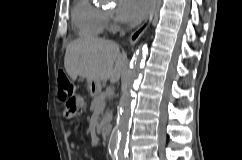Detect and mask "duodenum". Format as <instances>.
I'll return each instance as SVG.
<instances>
[{"instance_id":"obj_1","label":"duodenum","mask_w":242,"mask_h":160,"mask_svg":"<svg viewBox=\"0 0 242 160\" xmlns=\"http://www.w3.org/2000/svg\"><path fill=\"white\" fill-rule=\"evenodd\" d=\"M111 133V126L110 125H103L100 128V135L102 137H108Z\"/></svg>"}]
</instances>
